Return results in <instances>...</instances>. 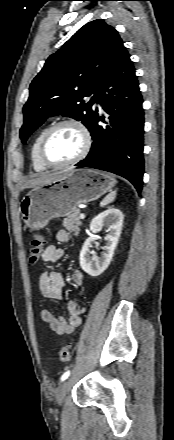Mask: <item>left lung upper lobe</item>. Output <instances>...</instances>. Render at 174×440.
<instances>
[{"mask_svg": "<svg viewBox=\"0 0 174 440\" xmlns=\"http://www.w3.org/2000/svg\"><path fill=\"white\" fill-rule=\"evenodd\" d=\"M124 49L118 32L104 20L81 27L47 59L32 81L23 107L22 142L48 117L58 114L82 121L88 127L100 86ZM91 94L94 96L85 103L83 98Z\"/></svg>", "mask_w": 174, "mask_h": 440, "instance_id": "left-lung-upper-lobe-1", "label": "left lung upper lobe"}]
</instances>
